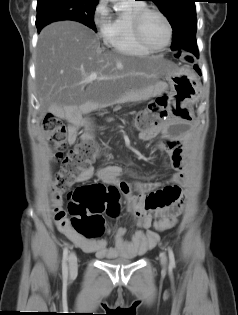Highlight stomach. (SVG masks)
<instances>
[{
  "label": "stomach",
  "instance_id": "1",
  "mask_svg": "<svg viewBox=\"0 0 238 315\" xmlns=\"http://www.w3.org/2000/svg\"><path fill=\"white\" fill-rule=\"evenodd\" d=\"M161 76L172 90L169 116H175L176 122H194L196 109L193 104L200 98L201 91V84H196V73L167 70Z\"/></svg>",
  "mask_w": 238,
  "mask_h": 315
}]
</instances>
